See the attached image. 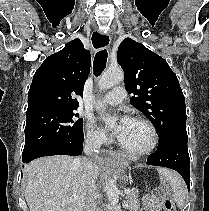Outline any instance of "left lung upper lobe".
I'll return each instance as SVG.
<instances>
[{"label": "left lung upper lobe", "instance_id": "1", "mask_svg": "<svg viewBox=\"0 0 209 211\" xmlns=\"http://www.w3.org/2000/svg\"><path fill=\"white\" fill-rule=\"evenodd\" d=\"M117 61L125 73L126 90L137 95L131 104L157 129L158 147L177 135H187L184 95L168 63L131 38L121 42Z\"/></svg>", "mask_w": 209, "mask_h": 211}]
</instances>
